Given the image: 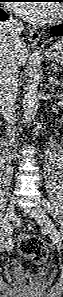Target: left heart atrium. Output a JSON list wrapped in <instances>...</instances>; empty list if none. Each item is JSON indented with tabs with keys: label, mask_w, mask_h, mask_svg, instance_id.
Segmentation results:
<instances>
[{
	"label": "left heart atrium",
	"mask_w": 63,
	"mask_h": 297,
	"mask_svg": "<svg viewBox=\"0 0 63 297\" xmlns=\"http://www.w3.org/2000/svg\"><path fill=\"white\" fill-rule=\"evenodd\" d=\"M10 9L30 21L40 22L46 20L52 9L46 4L11 3Z\"/></svg>",
	"instance_id": "1"
}]
</instances>
